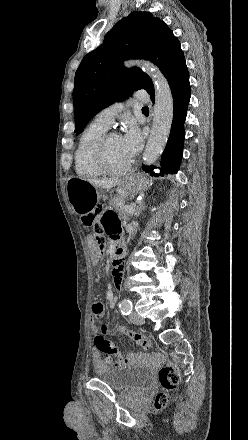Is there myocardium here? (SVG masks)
I'll list each match as a JSON object with an SVG mask.
<instances>
[{
	"label": "myocardium",
	"instance_id": "f54148a6",
	"mask_svg": "<svg viewBox=\"0 0 248 440\" xmlns=\"http://www.w3.org/2000/svg\"><path fill=\"white\" fill-rule=\"evenodd\" d=\"M114 135H118V134L114 133V132H106L100 138V140L98 141L97 146L95 148L94 161H95L97 167L99 168V170L103 174L117 176V175H122V174L128 173L133 167V161H131L127 166L120 168V169L112 168L109 165L108 159H107V146H108V141H109L110 137H112Z\"/></svg>",
	"mask_w": 248,
	"mask_h": 440
}]
</instances>
